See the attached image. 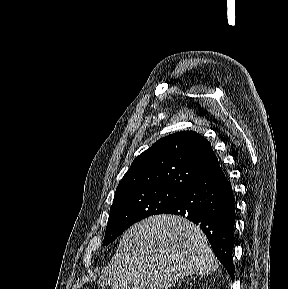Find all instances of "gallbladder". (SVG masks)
Masks as SVG:
<instances>
[{
    "label": "gallbladder",
    "instance_id": "bac80fb5",
    "mask_svg": "<svg viewBox=\"0 0 288 289\" xmlns=\"http://www.w3.org/2000/svg\"><path fill=\"white\" fill-rule=\"evenodd\" d=\"M103 286L107 287V286H110L112 284L108 283L106 280L104 282H102Z\"/></svg>",
    "mask_w": 288,
    "mask_h": 289
}]
</instances>
